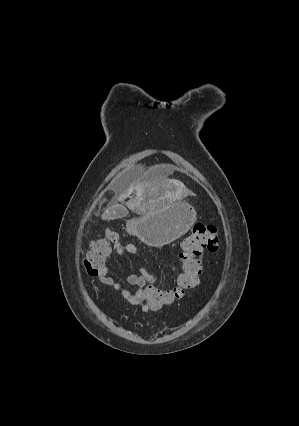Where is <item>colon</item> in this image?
<instances>
[{
  "instance_id": "5ec220e1",
  "label": "colon",
  "mask_w": 299,
  "mask_h": 426,
  "mask_svg": "<svg viewBox=\"0 0 299 426\" xmlns=\"http://www.w3.org/2000/svg\"><path fill=\"white\" fill-rule=\"evenodd\" d=\"M119 243L118 234L107 229L102 238L91 243L83 264L90 276H98L106 264V259L115 244ZM219 248V236L216 226L197 223L191 234L186 236L180 245L182 270L175 286L161 287L157 282H149L144 288L146 303L153 309L159 310L181 300L185 294L199 283L201 264L198 258L203 252H216Z\"/></svg>"
}]
</instances>
